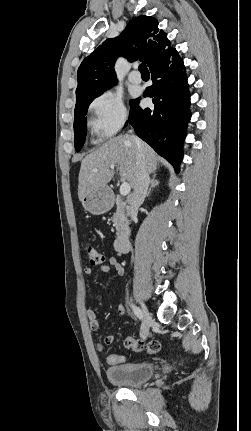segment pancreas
<instances>
[{"label": "pancreas", "mask_w": 251, "mask_h": 431, "mask_svg": "<svg viewBox=\"0 0 251 431\" xmlns=\"http://www.w3.org/2000/svg\"><path fill=\"white\" fill-rule=\"evenodd\" d=\"M117 211L112 217L113 225L116 227L117 237H124L128 225V208L123 204L121 198L117 196L116 200Z\"/></svg>", "instance_id": "pancreas-1"}]
</instances>
